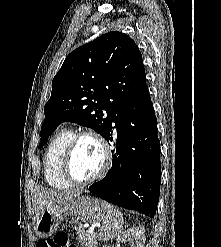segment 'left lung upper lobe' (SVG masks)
Segmentation results:
<instances>
[{"label":"left lung upper lobe","mask_w":221,"mask_h":247,"mask_svg":"<svg viewBox=\"0 0 221 247\" xmlns=\"http://www.w3.org/2000/svg\"><path fill=\"white\" fill-rule=\"evenodd\" d=\"M150 98L142 55L121 32H108L65 59L44 106L41 148L62 122L94 129L104 138L116 112Z\"/></svg>","instance_id":"left-lung-upper-lobe-1"}]
</instances>
